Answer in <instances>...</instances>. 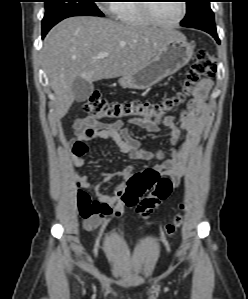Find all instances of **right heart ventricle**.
Here are the masks:
<instances>
[{
	"instance_id": "right-heart-ventricle-1",
	"label": "right heart ventricle",
	"mask_w": 248,
	"mask_h": 299,
	"mask_svg": "<svg viewBox=\"0 0 248 299\" xmlns=\"http://www.w3.org/2000/svg\"><path fill=\"white\" fill-rule=\"evenodd\" d=\"M141 1L123 0L111 4L110 8L115 18L122 24L130 26H150L153 23L146 17L139 3Z\"/></svg>"
}]
</instances>
